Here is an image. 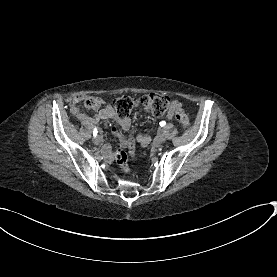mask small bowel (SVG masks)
Instances as JSON below:
<instances>
[{
	"instance_id": "c3829d8e",
	"label": "small bowel",
	"mask_w": 277,
	"mask_h": 277,
	"mask_svg": "<svg viewBox=\"0 0 277 277\" xmlns=\"http://www.w3.org/2000/svg\"><path fill=\"white\" fill-rule=\"evenodd\" d=\"M96 108L98 110L94 114H89L82 110L79 106L81 97H74L70 106L71 113L80 119L83 122H97L99 120H114L116 121L123 131H128L131 127V120L129 117H119L112 105L105 104L101 98H93ZM181 111V104L177 101H174L170 107V111L167 115L168 119H173L176 117L177 113ZM114 134L122 141L126 146L133 147L136 144V140L133 137L123 138V135L120 131L114 130ZM137 140L142 145H147L150 141V136L145 134H138ZM107 144H110V140H107ZM110 145L102 148V153L106 154V158L109 162L115 161V156L113 152H110Z\"/></svg>"
}]
</instances>
